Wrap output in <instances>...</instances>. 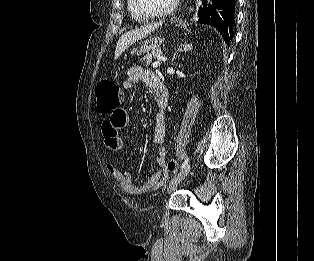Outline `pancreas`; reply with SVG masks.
<instances>
[{"label": "pancreas", "mask_w": 314, "mask_h": 261, "mask_svg": "<svg viewBox=\"0 0 314 261\" xmlns=\"http://www.w3.org/2000/svg\"><path fill=\"white\" fill-rule=\"evenodd\" d=\"M162 50L160 48L155 49L151 51L150 53H147L143 57H141V61L144 62L145 67H149L150 63H152V59L156 58L158 56H162Z\"/></svg>", "instance_id": "obj_1"}]
</instances>
